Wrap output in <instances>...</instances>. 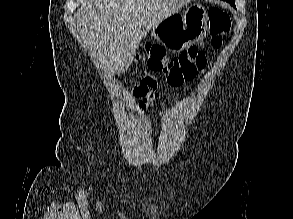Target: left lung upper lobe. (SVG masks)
I'll list each match as a JSON object with an SVG mask.
<instances>
[{
	"label": "left lung upper lobe",
	"instance_id": "obj_1",
	"mask_svg": "<svg viewBox=\"0 0 293 219\" xmlns=\"http://www.w3.org/2000/svg\"><path fill=\"white\" fill-rule=\"evenodd\" d=\"M226 2L230 3L231 5L235 6L234 0H225Z\"/></svg>",
	"mask_w": 293,
	"mask_h": 219
}]
</instances>
